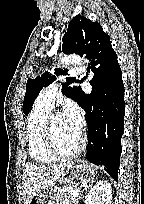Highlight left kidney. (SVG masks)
I'll list each match as a JSON object with an SVG mask.
<instances>
[{
	"label": "left kidney",
	"instance_id": "5707ae66",
	"mask_svg": "<svg viewBox=\"0 0 144 204\" xmlns=\"http://www.w3.org/2000/svg\"><path fill=\"white\" fill-rule=\"evenodd\" d=\"M111 198V184L107 180H102L91 188L85 198V204H110Z\"/></svg>",
	"mask_w": 144,
	"mask_h": 204
}]
</instances>
